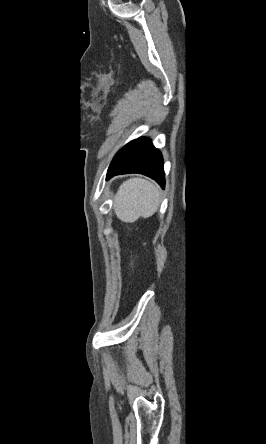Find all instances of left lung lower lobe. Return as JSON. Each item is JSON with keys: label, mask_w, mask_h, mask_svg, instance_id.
I'll list each match as a JSON object with an SVG mask.
<instances>
[{"label": "left lung lower lobe", "mask_w": 266, "mask_h": 444, "mask_svg": "<svg viewBox=\"0 0 266 444\" xmlns=\"http://www.w3.org/2000/svg\"><path fill=\"white\" fill-rule=\"evenodd\" d=\"M144 174L164 188L163 159L149 138H138L126 144L113 158L106 180L119 174Z\"/></svg>", "instance_id": "obj_1"}]
</instances>
